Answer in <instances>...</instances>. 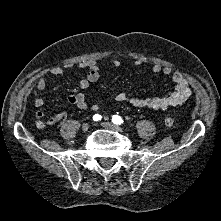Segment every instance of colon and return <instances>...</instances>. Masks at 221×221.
<instances>
[{
  "instance_id": "colon-1",
  "label": "colon",
  "mask_w": 221,
  "mask_h": 221,
  "mask_svg": "<svg viewBox=\"0 0 221 221\" xmlns=\"http://www.w3.org/2000/svg\"><path fill=\"white\" fill-rule=\"evenodd\" d=\"M54 122V119H47L45 121H40V125L42 127L48 125V124H51ZM164 125L167 127V128H173L175 127L176 125V119L173 115H168L164 118Z\"/></svg>"
}]
</instances>
